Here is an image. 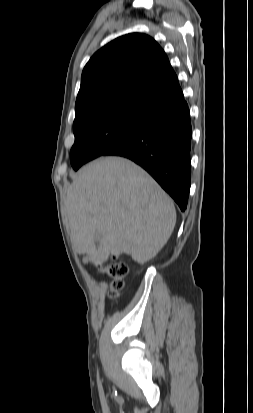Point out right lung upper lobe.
Instances as JSON below:
<instances>
[{
	"label": "right lung upper lobe",
	"mask_w": 253,
	"mask_h": 413,
	"mask_svg": "<svg viewBox=\"0 0 253 413\" xmlns=\"http://www.w3.org/2000/svg\"><path fill=\"white\" fill-rule=\"evenodd\" d=\"M183 101L177 76L163 49L150 36L131 33L102 47L84 67L75 119L111 107L152 114Z\"/></svg>",
	"instance_id": "1"
}]
</instances>
